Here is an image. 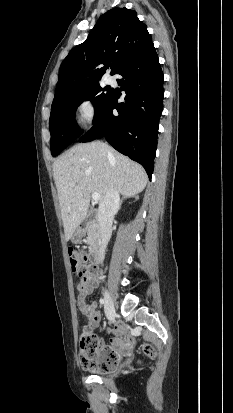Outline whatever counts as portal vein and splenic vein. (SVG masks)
Returning <instances> with one entry per match:
<instances>
[{
	"label": "portal vein and splenic vein",
	"mask_w": 233,
	"mask_h": 413,
	"mask_svg": "<svg viewBox=\"0 0 233 413\" xmlns=\"http://www.w3.org/2000/svg\"><path fill=\"white\" fill-rule=\"evenodd\" d=\"M92 199L94 201H99L100 200V195L98 193H92Z\"/></svg>",
	"instance_id": "obj_1"
}]
</instances>
